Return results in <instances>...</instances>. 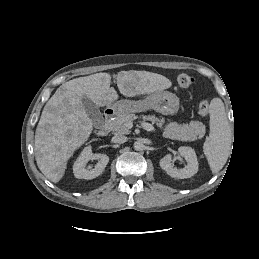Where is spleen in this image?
I'll list each match as a JSON object with an SVG mask.
<instances>
[{
	"label": "spleen",
	"instance_id": "spleen-1",
	"mask_svg": "<svg viewBox=\"0 0 259 259\" xmlns=\"http://www.w3.org/2000/svg\"><path fill=\"white\" fill-rule=\"evenodd\" d=\"M210 134L204 142L203 151L213 174L225 165L231 151V128L220 98L210 103Z\"/></svg>",
	"mask_w": 259,
	"mask_h": 259
}]
</instances>
